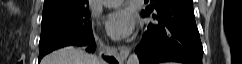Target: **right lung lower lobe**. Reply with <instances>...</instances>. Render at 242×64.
<instances>
[{
  "mask_svg": "<svg viewBox=\"0 0 242 64\" xmlns=\"http://www.w3.org/2000/svg\"><path fill=\"white\" fill-rule=\"evenodd\" d=\"M72 46H82L86 48V51L88 52H93L96 49V44H95V40L94 37L87 42H83V43H79V44H73ZM103 58L109 62L110 64H118V62L115 60V58L113 57H109V56H104ZM41 60V58H39Z\"/></svg>",
  "mask_w": 242,
  "mask_h": 64,
  "instance_id": "1",
  "label": "right lung lower lobe"
}]
</instances>
